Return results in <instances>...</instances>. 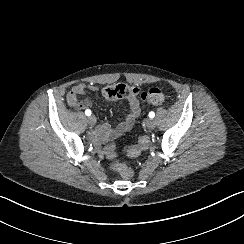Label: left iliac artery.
Returning <instances> with one entry per match:
<instances>
[{"label":"left iliac artery","instance_id":"1","mask_svg":"<svg viewBox=\"0 0 244 244\" xmlns=\"http://www.w3.org/2000/svg\"><path fill=\"white\" fill-rule=\"evenodd\" d=\"M154 116H155V113L151 111V112L149 113V117H150V118H154Z\"/></svg>","mask_w":244,"mask_h":244}]
</instances>
